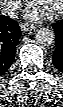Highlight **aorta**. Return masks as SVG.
I'll use <instances>...</instances> for the list:
<instances>
[{
  "instance_id": "obj_1",
  "label": "aorta",
  "mask_w": 63,
  "mask_h": 107,
  "mask_svg": "<svg viewBox=\"0 0 63 107\" xmlns=\"http://www.w3.org/2000/svg\"><path fill=\"white\" fill-rule=\"evenodd\" d=\"M35 40L41 46H50L55 40V34L49 28H40L36 31Z\"/></svg>"
}]
</instances>
